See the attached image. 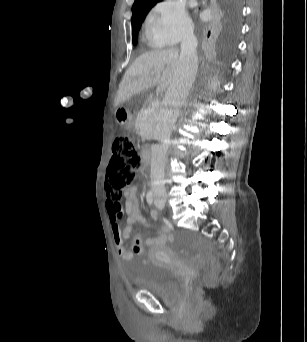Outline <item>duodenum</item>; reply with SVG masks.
<instances>
[{"label": "duodenum", "mask_w": 307, "mask_h": 342, "mask_svg": "<svg viewBox=\"0 0 307 342\" xmlns=\"http://www.w3.org/2000/svg\"><path fill=\"white\" fill-rule=\"evenodd\" d=\"M141 157H142V161H143V165L145 168H147L150 164V160H151V153L148 149L144 148L141 149Z\"/></svg>", "instance_id": "obj_1"}]
</instances>
